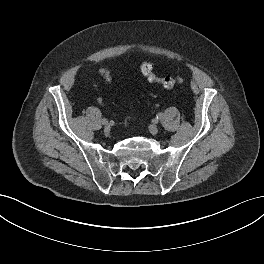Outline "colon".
Instances as JSON below:
<instances>
[{
  "instance_id": "1",
  "label": "colon",
  "mask_w": 264,
  "mask_h": 264,
  "mask_svg": "<svg viewBox=\"0 0 264 264\" xmlns=\"http://www.w3.org/2000/svg\"><path fill=\"white\" fill-rule=\"evenodd\" d=\"M140 70L143 76L150 82L163 86L164 88L171 89L181 82L179 77H160L154 73L153 64L149 61H144L140 65ZM101 77L108 83L111 82V72L107 68L99 70Z\"/></svg>"
}]
</instances>
